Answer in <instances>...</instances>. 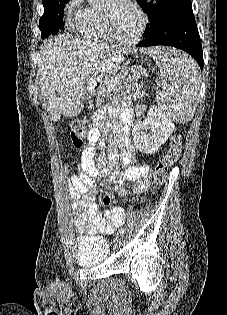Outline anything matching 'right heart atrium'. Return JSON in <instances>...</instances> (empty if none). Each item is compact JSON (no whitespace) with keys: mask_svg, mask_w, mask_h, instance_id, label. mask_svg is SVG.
<instances>
[{"mask_svg":"<svg viewBox=\"0 0 227 315\" xmlns=\"http://www.w3.org/2000/svg\"><path fill=\"white\" fill-rule=\"evenodd\" d=\"M81 2L82 0H69L65 6L66 13L74 12L76 15L82 9Z\"/></svg>","mask_w":227,"mask_h":315,"instance_id":"right-heart-atrium-1","label":"right heart atrium"}]
</instances>
